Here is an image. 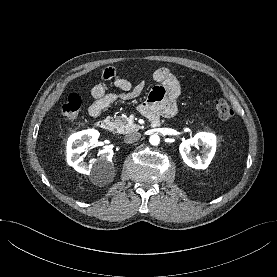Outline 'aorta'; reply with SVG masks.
Returning <instances> with one entry per match:
<instances>
[{
  "label": "aorta",
  "mask_w": 277,
  "mask_h": 277,
  "mask_svg": "<svg viewBox=\"0 0 277 277\" xmlns=\"http://www.w3.org/2000/svg\"><path fill=\"white\" fill-rule=\"evenodd\" d=\"M151 145H158L160 143V137L158 135H152L149 139Z\"/></svg>",
  "instance_id": "762f6f07"
}]
</instances>
